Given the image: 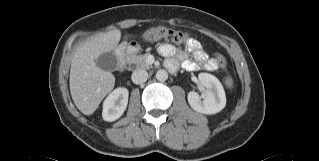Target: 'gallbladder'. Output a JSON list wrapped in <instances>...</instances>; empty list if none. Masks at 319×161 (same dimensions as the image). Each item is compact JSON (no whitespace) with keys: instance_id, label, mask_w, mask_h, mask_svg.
I'll return each instance as SVG.
<instances>
[{"instance_id":"1","label":"gallbladder","mask_w":319,"mask_h":161,"mask_svg":"<svg viewBox=\"0 0 319 161\" xmlns=\"http://www.w3.org/2000/svg\"><path fill=\"white\" fill-rule=\"evenodd\" d=\"M96 65L104 71L111 72L118 66V60L114 52H106L97 58Z\"/></svg>"}]
</instances>
